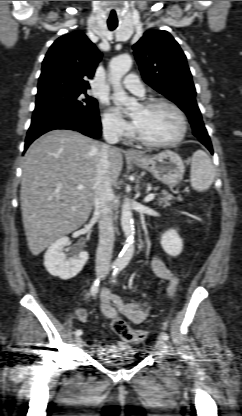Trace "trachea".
I'll return each instance as SVG.
<instances>
[{
	"mask_svg": "<svg viewBox=\"0 0 242 416\" xmlns=\"http://www.w3.org/2000/svg\"><path fill=\"white\" fill-rule=\"evenodd\" d=\"M107 25H108L109 30L113 31L117 28L118 23L108 22Z\"/></svg>",
	"mask_w": 242,
	"mask_h": 416,
	"instance_id": "3493384b",
	"label": "trachea"
}]
</instances>
